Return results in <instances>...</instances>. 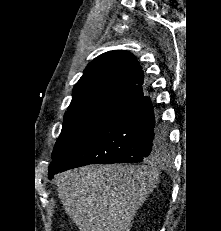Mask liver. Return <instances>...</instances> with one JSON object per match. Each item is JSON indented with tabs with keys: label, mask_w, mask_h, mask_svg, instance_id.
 Masks as SVG:
<instances>
[{
	"label": "liver",
	"mask_w": 221,
	"mask_h": 231,
	"mask_svg": "<svg viewBox=\"0 0 221 231\" xmlns=\"http://www.w3.org/2000/svg\"><path fill=\"white\" fill-rule=\"evenodd\" d=\"M58 196L81 231H130L137 210L159 183L145 165H91L59 174Z\"/></svg>",
	"instance_id": "6515ba94"
}]
</instances>
